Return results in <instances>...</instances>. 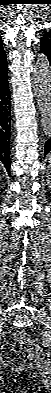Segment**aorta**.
I'll use <instances>...</instances> for the list:
<instances>
[{
  "label": "aorta",
  "mask_w": 51,
  "mask_h": 393,
  "mask_svg": "<svg viewBox=\"0 0 51 393\" xmlns=\"http://www.w3.org/2000/svg\"><path fill=\"white\" fill-rule=\"evenodd\" d=\"M33 79L43 131L49 136L51 134V67L44 54L36 59Z\"/></svg>",
  "instance_id": "aorta-1"
}]
</instances>
